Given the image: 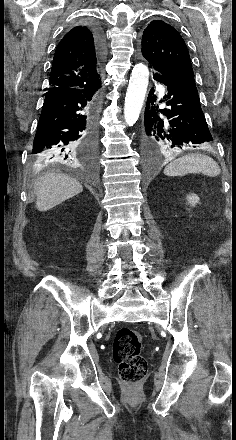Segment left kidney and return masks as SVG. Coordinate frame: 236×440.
<instances>
[{
    "instance_id": "obj_1",
    "label": "left kidney",
    "mask_w": 236,
    "mask_h": 440,
    "mask_svg": "<svg viewBox=\"0 0 236 440\" xmlns=\"http://www.w3.org/2000/svg\"><path fill=\"white\" fill-rule=\"evenodd\" d=\"M199 200V197L194 193H191L187 196V201L192 206H195L197 203H199Z\"/></svg>"
}]
</instances>
